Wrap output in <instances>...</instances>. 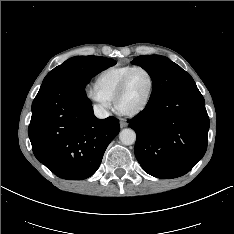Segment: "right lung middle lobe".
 <instances>
[{
  "instance_id": "right-lung-middle-lobe-1",
  "label": "right lung middle lobe",
  "mask_w": 234,
  "mask_h": 234,
  "mask_svg": "<svg viewBox=\"0 0 234 234\" xmlns=\"http://www.w3.org/2000/svg\"><path fill=\"white\" fill-rule=\"evenodd\" d=\"M115 64V60L101 56L72 57L50 71L44 78L43 83L70 77L73 83L85 88L92 76Z\"/></svg>"
}]
</instances>
